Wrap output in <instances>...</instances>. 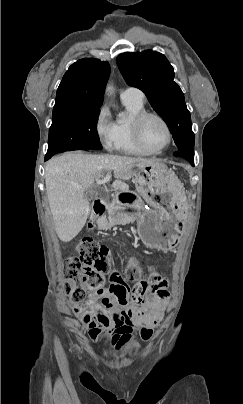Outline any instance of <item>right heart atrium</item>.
Here are the masks:
<instances>
[{"mask_svg":"<svg viewBox=\"0 0 243 404\" xmlns=\"http://www.w3.org/2000/svg\"><path fill=\"white\" fill-rule=\"evenodd\" d=\"M94 132L101 148L109 153L118 151L117 132L109 108L102 105L94 117Z\"/></svg>","mask_w":243,"mask_h":404,"instance_id":"obj_1","label":"right heart atrium"}]
</instances>
